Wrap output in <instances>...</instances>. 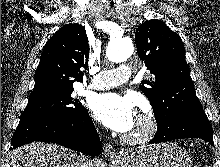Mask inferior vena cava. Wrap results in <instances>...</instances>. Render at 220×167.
Wrapping results in <instances>:
<instances>
[{"mask_svg": "<svg viewBox=\"0 0 220 167\" xmlns=\"http://www.w3.org/2000/svg\"><path fill=\"white\" fill-rule=\"evenodd\" d=\"M92 161L88 160L84 156H78L76 167H93Z\"/></svg>", "mask_w": 220, "mask_h": 167, "instance_id": "602c4592", "label": "inferior vena cava"}]
</instances>
